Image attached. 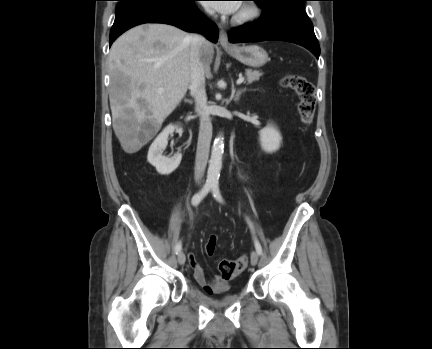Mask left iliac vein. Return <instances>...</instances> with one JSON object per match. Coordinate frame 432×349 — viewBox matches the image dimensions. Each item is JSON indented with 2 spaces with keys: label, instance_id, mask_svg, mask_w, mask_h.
Returning a JSON list of instances; mask_svg holds the SVG:
<instances>
[{
  "label": "left iliac vein",
  "instance_id": "4c4485c4",
  "mask_svg": "<svg viewBox=\"0 0 432 349\" xmlns=\"http://www.w3.org/2000/svg\"><path fill=\"white\" fill-rule=\"evenodd\" d=\"M258 259H259L258 253L256 251H252L251 252V264L253 266H255L258 263Z\"/></svg>",
  "mask_w": 432,
  "mask_h": 349
}]
</instances>
